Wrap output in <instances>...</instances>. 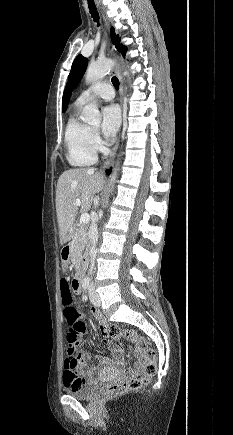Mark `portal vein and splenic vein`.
Instances as JSON below:
<instances>
[{
	"instance_id": "1",
	"label": "portal vein and splenic vein",
	"mask_w": 233,
	"mask_h": 435,
	"mask_svg": "<svg viewBox=\"0 0 233 435\" xmlns=\"http://www.w3.org/2000/svg\"><path fill=\"white\" fill-rule=\"evenodd\" d=\"M75 203H76L77 206H80V205H81V201H80L79 199H77V200L75 201ZM89 221H90V216H89V214H88V213H82V214H81L80 222H81L82 224H87Z\"/></svg>"
}]
</instances>
